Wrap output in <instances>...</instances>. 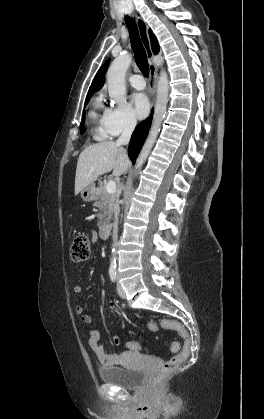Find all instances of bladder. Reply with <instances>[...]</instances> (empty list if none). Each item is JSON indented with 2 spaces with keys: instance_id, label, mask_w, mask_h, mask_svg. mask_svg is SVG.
<instances>
[{
  "instance_id": "31cf9c89",
  "label": "bladder",
  "mask_w": 264,
  "mask_h": 419,
  "mask_svg": "<svg viewBox=\"0 0 264 419\" xmlns=\"http://www.w3.org/2000/svg\"><path fill=\"white\" fill-rule=\"evenodd\" d=\"M99 376L104 383L129 390L136 389L143 383L145 372L141 368L111 366L100 369Z\"/></svg>"
}]
</instances>
